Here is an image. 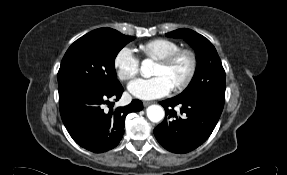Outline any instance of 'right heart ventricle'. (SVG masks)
<instances>
[{"mask_svg":"<svg viewBox=\"0 0 287 175\" xmlns=\"http://www.w3.org/2000/svg\"><path fill=\"white\" fill-rule=\"evenodd\" d=\"M139 48L147 58L158 60L179 50L181 45L171 39L157 38L141 44Z\"/></svg>","mask_w":287,"mask_h":175,"instance_id":"right-heart-ventricle-1","label":"right heart ventricle"}]
</instances>
